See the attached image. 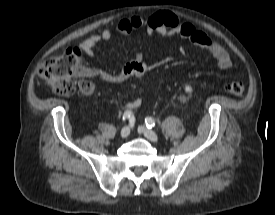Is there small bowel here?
I'll list each match as a JSON object with an SVG mask.
<instances>
[{"label":"small bowel","mask_w":275,"mask_h":215,"mask_svg":"<svg viewBox=\"0 0 275 215\" xmlns=\"http://www.w3.org/2000/svg\"><path fill=\"white\" fill-rule=\"evenodd\" d=\"M145 29L149 34L155 32L169 36L179 35L182 39L201 46L206 49L216 60L220 69L227 70L232 66V60L224 47L210 35L198 30L192 23H182L180 20L168 12H160L148 17L134 16L123 18L117 24L119 33L126 35L137 29ZM112 38L110 29H103L100 33L94 34L85 39L81 44V49L89 56L94 57V48L101 42ZM152 69V66L145 60L143 54H137L134 59L127 63L119 73H112L102 68H95L88 73L98 77L107 83H116L130 79L141 78ZM142 104L141 99H134L124 105V109H135Z\"/></svg>","instance_id":"1"}]
</instances>
